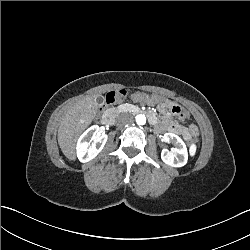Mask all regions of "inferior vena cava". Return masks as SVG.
<instances>
[{"mask_svg": "<svg viewBox=\"0 0 250 250\" xmlns=\"http://www.w3.org/2000/svg\"><path fill=\"white\" fill-rule=\"evenodd\" d=\"M115 122L118 126H126L133 122V116L130 113H122L116 118Z\"/></svg>", "mask_w": 250, "mask_h": 250, "instance_id": "602c4592", "label": "inferior vena cava"}]
</instances>
